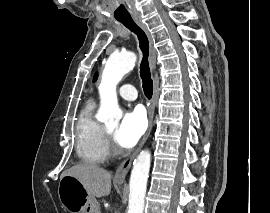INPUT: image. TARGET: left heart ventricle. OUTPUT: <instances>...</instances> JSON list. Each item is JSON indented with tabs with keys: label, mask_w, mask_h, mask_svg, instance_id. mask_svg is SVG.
Here are the masks:
<instances>
[{
	"label": "left heart ventricle",
	"mask_w": 270,
	"mask_h": 213,
	"mask_svg": "<svg viewBox=\"0 0 270 213\" xmlns=\"http://www.w3.org/2000/svg\"><path fill=\"white\" fill-rule=\"evenodd\" d=\"M107 130L113 133L115 131V127H108Z\"/></svg>",
	"instance_id": "1"
}]
</instances>
